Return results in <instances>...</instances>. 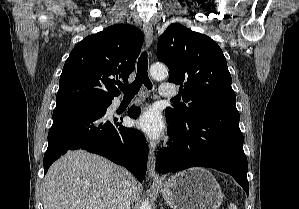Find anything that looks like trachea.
I'll return each mask as SVG.
<instances>
[{
    "mask_svg": "<svg viewBox=\"0 0 299 209\" xmlns=\"http://www.w3.org/2000/svg\"><path fill=\"white\" fill-rule=\"evenodd\" d=\"M148 58L147 53L143 52L138 59L137 63V74L133 83L130 85H120L119 89L124 93L125 96H135L142 84L148 89H152L151 81L148 77ZM175 99H172L174 101Z\"/></svg>",
    "mask_w": 299,
    "mask_h": 209,
    "instance_id": "trachea-1",
    "label": "trachea"
}]
</instances>
